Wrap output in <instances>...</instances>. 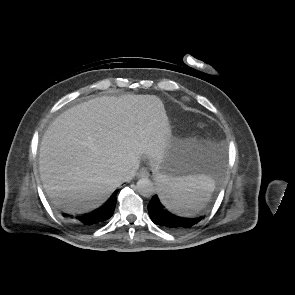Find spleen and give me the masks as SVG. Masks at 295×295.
Segmentation results:
<instances>
[{
  "instance_id": "spleen-1",
  "label": "spleen",
  "mask_w": 295,
  "mask_h": 295,
  "mask_svg": "<svg viewBox=\"0 0 295 295\" xmlns=\"http://www.w3.org/2000/svg\"><path fill=\"white\" fill-rule=\"evenodd\" d=\"M159 198L173 213L183 217H193L209 201L215 182L209 175L156 177Z\"/></svg>"
}]
</instances>
